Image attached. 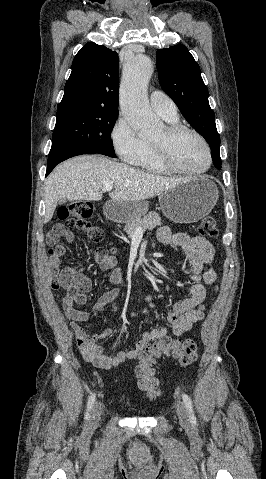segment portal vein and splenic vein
I'll use <instances>...</instances> for the list:
<instances>
[{
	"label": "portal vein and splenic vein",
	"instance_id": "obj_1",
	"mask_svg": "<svg viewBox=\"0 0 266 479\" xmlns=\"http://www.w3.org/2000/svg\"><path fill=\"white\" fill-rule=\"evenodd\" d=\"M113 188H114V186L112 184H106V185L103 186L102 191L108 192V191H111ZM136 231L137 232H143V229L141 227H138L136 229Z\"/></svg>",
	"mask_w": 266,
	"mask_h": 479
}]
</instances>
